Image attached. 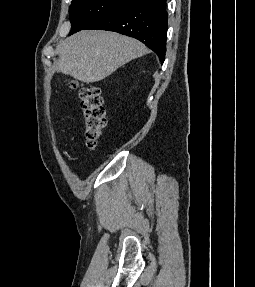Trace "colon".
Wrapping results in <instances>:
<instances>
[{
  "label": "colon",
  "mask_w": 255,
  "mask_h": 287,
  "mask_svg": "<svg viewBox=\"0 0 255 287\" xmlns=\"http://www.w3.org/2000/svg\"><path fill=\"white\" fill-rule=\"evenodd\" d=\"M71 87L79 91L84 137L87 147L93 150L96 148L106 125V113L101 91L98 87L81 85L75 81L71 83Z\"/></svg>",
  "instance_id": "1"
}]
</instances>
